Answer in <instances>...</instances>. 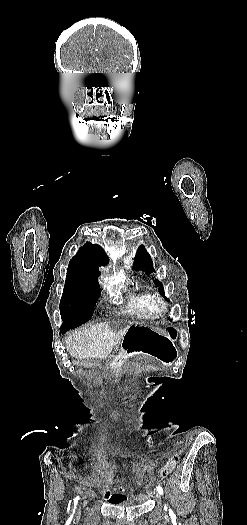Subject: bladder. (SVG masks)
Returning <instances> with one entry per match:
<instances>
[{"label":"bladder","instance_id":"bladder-1","mask_svg":"<svg viewBox=\"0 0 247 525\" xmlns=\"http://www.w3.org/2000/svg\"><path fill=\"white\" fill-rule=\"evenodd\" d=\"M140 499L137 497L135 499H132V500H129L127 502H119V503H116V505H120V506H134L133 504H135L137 501H139Z\"/></svg>","mask_w":247,"mask_h":525}]
</instances>
